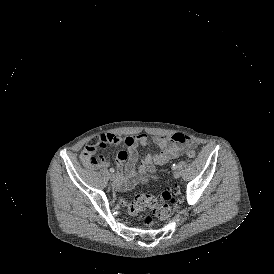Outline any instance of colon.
Masks as SVG:
<instances>
[{
	"mask_svg": "<svg viewBox=\"0 0 274 274\" xmlns=\"http://www.w3.org/2000/svg\"><path fill=\"white\" fill-rule=\"evenodd\" d=\"M104 148L106 147H99L98 138L95 137L87 143L84 150V156L86 155V152H99ZM185 156L190 160H194L197 157V154L193 149H190L185 153ZM171 200L172 193L163 191L158 196L149 193H141L131 200H128L125 197H119L118 203L131 214H136L149 209L150 212L143 215L142 222L145 224H152L154 219L164 220L169 217L171 208L168 205V202Z\"/></svg>",
	"mask_w": 274,
	"mask_h": 274,
	"instance_id": "5ec220e1",
	"label": "colon"
}]
</instances>
